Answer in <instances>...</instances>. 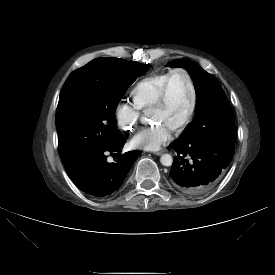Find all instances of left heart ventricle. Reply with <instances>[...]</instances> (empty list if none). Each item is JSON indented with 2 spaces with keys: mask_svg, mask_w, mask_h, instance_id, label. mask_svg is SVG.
Here are the masks:
<instances>
[{
  "mask_svg": "<svg viewBox=\"0 0 275 275\" xmlns=\"http://www.w3.org/2000/svg\"><path fill=\"white\" fill-rule=\"evenodd\" d=\"M191 101L187 79L182 74H175L171 80L167 103L151 111L154 122L161 121L175 128L187 115Z\"/></svg>",
  "mask_w": 275,
  "mask_h": 275,
  "instance_id": "obj_1",
  "label": "left heart ventricle"
}]
</instances>
